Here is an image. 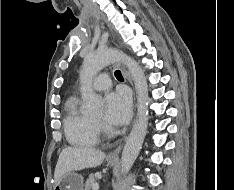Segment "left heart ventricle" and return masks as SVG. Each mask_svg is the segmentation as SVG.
<instances>
[{"instance_id":"b2bd125f","label":"left heart ventricle","mask_w":234,"mask_h":190,"mask_svg":"<svg viewBox=\"0 0 234 190\" xmlns=\"http://www.w3.org/2000/svg\"><path fill=\"white\" fill-rule=\"evenodd\" d=\"M95 119L96 120H101L102 119V115L96 116Z\"/></svg>"}]
</instances>
